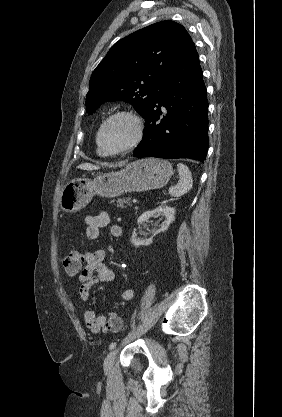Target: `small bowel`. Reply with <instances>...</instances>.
<instances>
[{
    "mask_svg": "<svg viewBox=\"0 0 282 417\" xmlns=\"http://www.w3.org/2000/svg\"><path fill=\"white\" fill-rule=\"evenodd\" d=\"M86 227V237L89 240H96L100 236L101 229L109 226L110 235L114 238H120L123 229L118 224H110L109 215L105 211H99L94 215H86L83 218ZM106 250L102 247L95 248L85 253V266L80 271V287L78 296L80 300L86 301L90 297L91 289L99 283H107L114 279L115 274L111 267L105 264ZM123 301H130L134 297L133 288H125L121 292ZM105 315L96 316L90 309L83 310V320L85 325L93 333H99L106 330L103 326Z\"/></svg>",
    "mask_w": 282,
    "mask_h": 417,
    "instance_id": "small-bowel-1",
    "label": "small bowel"
}]
</instances>
